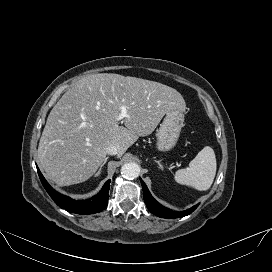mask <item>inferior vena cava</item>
Here are the masks:
<instances>
[{"mask_svg":"<svg viewBox=\"0 0 272 272\" xmlns=\"http://www.w3.org/2000/svg\"><path fill=\"white\" fill-rule=\"evenodd\" d=\"M106 153L108 155H116L118 154V147L116 145L111 144L106 147Z\"/></svg>","mask_w":272,"mask_h":272,"instance_id":"1","label":"inferior vena cava"}]
</instances>
